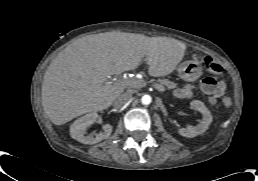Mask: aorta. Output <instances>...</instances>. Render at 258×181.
I'll use <instances>...</instances> for the list:
<instances>
[{
    "mask_svg": "<svg viewBox=\"0 0 258 181\" xmlns=\"http://www.w3.org/2000/svg\"><path fill=\"white\" fill-rule=\"evenodd\" d=\"M141 102L143 105H149L152 102V98L150 95H143L141 98Z\"/></svg>",
    "mask_w": 258,
    "mask_h": 181,
    "instance_id": "762f6f07",
    "label": "aorta"
}]
</instances>
